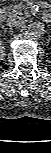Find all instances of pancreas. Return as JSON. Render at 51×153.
Returning <instances> with one entry per match:
<instances>
[{"label":"pancreas","mask_w":51,"mask_h":153,"mask_svg":"<svg viewBox=\"0 0 51 153\" xmlns=\"http://www.w3.org/2000/svg\"><path fill=\"white\" fill-rule=\"evenodd\" d=\"M22 13H24L26 17L29 15L28 10L23 3L14 4L8 8L9 16L20 15Z\"/></svg>","instance_id":"cf45deb5"}]
</instances>
